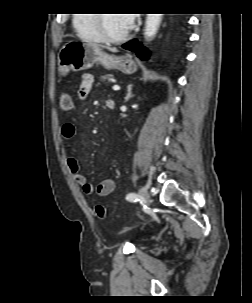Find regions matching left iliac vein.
<instances>
[{
    "instance_id": "1",
    "label": "left iliac vein",
    "mask_w": 252,
    "mask_h": 303,
    "mask_svg": "<svg viewBox=\"0 0 252 303\" xmlns=\"http://www.w3.org/2000/svg\"><path fill=\"white\" fill-rule=\"evenodd\" d=\"M139 196H140L141 201H142L144 204H146V205H148V206L151 205V198H150V195H149V192H148L147 189L141 188V189L139 190Z\"/></svg>"
}]
</instances>
